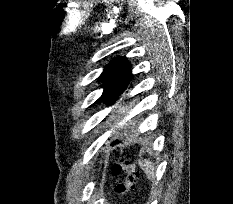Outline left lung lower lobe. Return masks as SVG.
Segmentation results:
<instances>
[{
    "label": "left lung lower lobe",
    "instance_id": "obj_1",
    "mask_svg": "<svg viewBox=\"0 0 233 204\" xmlns=\"http://www.w3.org/2000/svg\"><path fill=\"white\" fill-rule=\"evenodd\" d=\"M119 141L118 140H116V141H114L113 143H112V145H114V144H117Z\"/></svg>",
    "mask_w": 233,
    "mask_h": 204
}]
</instances>
